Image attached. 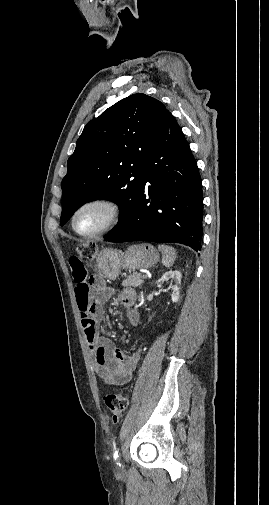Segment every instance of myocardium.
Listing matches in <instances>:
<instances>
[{
    "label": "myocardium",
    "mask_w": 269,
    "mask_h": 505,
    "mask_svg": "<svg viewBox=\"0 0 269 505\" xmlns=\"http://www.w3.org/2000/svg\"><path fill=\"white\" fill-rule=\"evenodd\" d=\"M91 205H104L108 207L111 212L110 219L104 226H102L100 229L92 233H81L75 227L76 217L81 210ZM122 216H123V209L121 204L117 200L107 196H98L84 201L75 209L71 217V228L80 237L94 238L114 228L121 221Z\"/></svg>",
    "instance_id": "myocardium-1"
}]
</instances>
